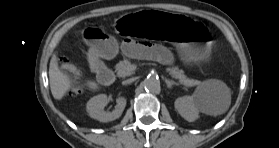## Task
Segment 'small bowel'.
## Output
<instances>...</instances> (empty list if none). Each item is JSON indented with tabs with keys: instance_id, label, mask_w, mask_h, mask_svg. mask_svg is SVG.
<instances>
[{
	"instance_id": "c3829d8e",
	"label": "small bowel",
	"mask_w": 279,
	"mask_h": 148,
	"mask_svg": "<svg viewBox=\"0 0 279 148\" xmlns=\"http://www.w3.org/2000/svg\"><path fill=\"white\" fill-rule=\"evenodd\" d=\"M121 50L130 58L154 59L164 64L172 60L171 54L163 46L134 38H126Z\"/></svg>"
}]
</instances>
